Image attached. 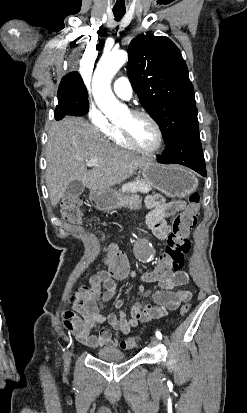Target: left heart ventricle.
I'll return each mask as SVG.
<instances>
[{
  "label": "left heart ventricle",
  "mask_w": 247,
  "mask_h": 413,
  "mask_svg": "<svg viewBox=\"0 0 247 413\" xmlns=\"http://www.w3.org/2000/svg\"><path fill=\"white\" fill-rule=\"evenodd\" d=\"M132 124L130 130L135 139L146 148H153L159 142V135L155 128L145 118H126L125 125Z\"/></svg>",
  "instance_id": "1"
}]
</instances>
